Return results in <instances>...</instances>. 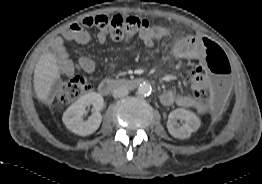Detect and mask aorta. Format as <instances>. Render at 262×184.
I'll return each instance as SVG.
<instances>
[{"instance_id": "obj_1", "label": "aorta", "mask_w": 262, "mask_h": 184, "mask_svg": "<svg viewBox=\"0 0 262 184\" xmlns=\"http://www.w3.org/2000/svg\"><path fill=\"white\" fill-rule=\"evenodd\" d=\"M138 93L141 95H149L151 93V85L149 83H141L138 87Z\"/></svg>"}]
</instances>
